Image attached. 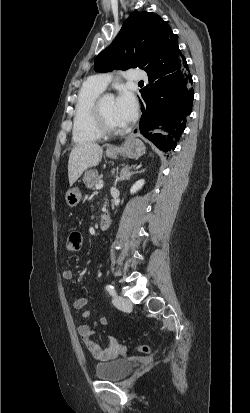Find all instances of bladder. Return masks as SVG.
Segmentation results:
<instances>
[{"label":"bladder","instance_id":"1","mask_svg":"<svg viewBox=\"0 0 250 413\" xmlns=\"http://www.w3.org/2000/svg\"><path fill=\"white\" fill-rule=\"evenodd\" d=\"M133 368L134 364L129 359L117 358L96 364L95 375L101 380L118 381L128 376Z\"/></svg>","mask_w":250,"mask_h":413}]
</instances>
